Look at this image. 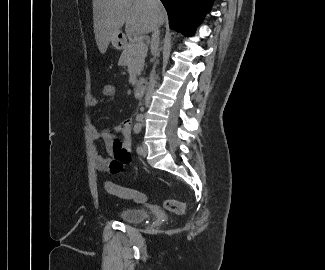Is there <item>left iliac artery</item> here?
<instances>
[{
	"instance_id": "left-iliac-artery-1",
	"label": "left iliac artery",
	"mask_w": 325,
	"mask_h": 270,
	"mask_svg": "<svg viewBox=\"0 0 325 270\" xmlns=\"http://www.w3.org/2000/svg\"><path fill=\"white\" fill-rule=\"evenodd\" d=\"M140 131H141V124L140 123H137L134 126V133L139 134ZM141 150H142V146L141 145H138L137 146V149H136L137 153L139 154L141 152Z\"/></svg>"
}]
</instances>
